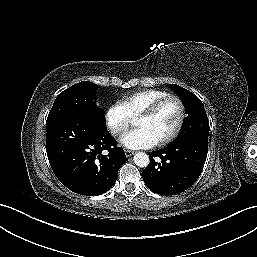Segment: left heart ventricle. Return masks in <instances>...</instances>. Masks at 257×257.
Here are the masks:
<instances>
[{"mask_svg": "<svg viewBox=\"0 0 257 257\" xmlns=\"http://www.w3.org/2000/svg\"><path fill=\"white\" fill-rule=\"evenodd\" d=\"M179 118V107L176 101L167 102L154 116L138 118L136 125L146 129L157 141L169 135Z\"/></svg>", "mask_w": 257, "mask_h": 257, "instance_id": "b2bd125f", "label": "left heart ventricle"}]
</instances>
